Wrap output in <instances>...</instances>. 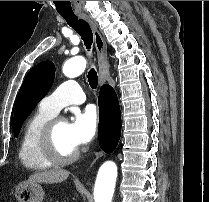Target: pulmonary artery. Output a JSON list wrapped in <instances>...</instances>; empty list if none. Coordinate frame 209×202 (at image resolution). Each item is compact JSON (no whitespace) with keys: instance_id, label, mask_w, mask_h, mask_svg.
I'll return each instance as SVG.
<instances>
[{"instance_id":"e3ab8cb5","label":"pulmonary artery","mask_w":209,"mask_h":202,"mask_svg":"<svg viewBox=\"0 0 209 202\" xmlns=\"http://www.w3.org/2000/svg\"><path fill=\"white\" fill-rule=\"evenodd\" d=\"M85 101V95L77 80H66L58 85L54 91L41 99L40 107L51 115L71 104L79 105Z\"/></svg>"}]
</instances>
